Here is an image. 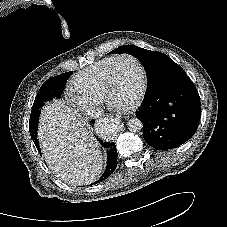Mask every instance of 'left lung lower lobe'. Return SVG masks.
I'll return each instance as SVG.
<instances>
[{"label": "left lung lower lobe", "mask_w": 227, "mask_h": 227, "mask_svg": "<svg viewBox=\"0 0 227 227\" xmlns=\"http://www.w3.org/2000/svg\"><path fill=\"white\" fill-rule=\"evenodd\" d=\"M200 112L198 91L183 75L149 91L136 117L143 123L145 142L158 150H168L194 135Z\"/></svg>", "instance_id": "0a47b994"}]
</instances>
